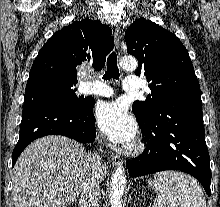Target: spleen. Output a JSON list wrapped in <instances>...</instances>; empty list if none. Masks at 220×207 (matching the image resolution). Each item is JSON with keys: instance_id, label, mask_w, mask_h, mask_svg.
I'll use <instances>...</instances> for the list:
<instances>
[{"instance_id": "spleen-1", "label": "spleen", "mask_w": 220, "mask_h": 207, "mask_svg": "<svg viewBox=\"0 0 220 207\" xmlns=\"http://www.w3.org/2000/svg\"><path fill=\"white\" fill-rule=\"evenodd\" d=\"M154 207H206L202 187L191 176L163 171L154 175Z\"/></svg>"}]
</instances>
